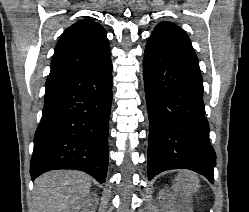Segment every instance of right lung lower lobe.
I'll use <instances>...</instances> for the list:
<instances>
[{
  "instance_id": "98d812e1",
  "label": "right lung lower lobe",
  "mask_w": 249,
  "mask_h": 212,
  "mask_svg": "<svg viewBox=\"0 0 249 212\" xmlns=\"http://www.w3.org/2000/svg\"><path fill=\"white\" fill-rule=\"evenodd\" d=\"M111 103V56L86 71L47 83L34 137L32 178L49 170L74 169L104 183Z\"/></svg>"
}]
</instances>
